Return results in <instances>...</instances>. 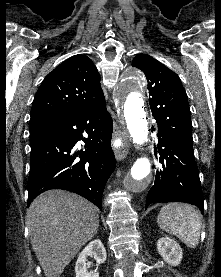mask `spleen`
I'll use <instances>...</instances> for the list:
<instances>
[{
  "label": "spleen",
  "instance_id": "1",
  "mask_svg": "<svg viewBox=\"0 0 221 277\" xmlns=\"http://www.w3.org/2000/svg\"><path fill=\"white\" fill-rule=\"evenodd\" d=\"M158 226L177 236L189 248H195L200 239L201 216L188 204L170 203L163 206L157 218Z\"/></svg>",
  "mask_w": 221,
  "mask_h": 277
}]
</instances>
